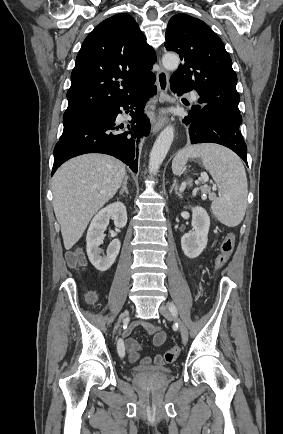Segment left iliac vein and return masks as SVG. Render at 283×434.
<instances>
[{"label": "left iliac vein", "instance_id": "obj_1", "mask_svg": "<svg viewBox=\"0 0 283 434\" xmlns=\"http://www.w3.org/2000/svg\"><path fill=\"white\" fill-rule=\"evenodd\" d=\"M159 311L165 318L173 320L179 325L182 342L185 344L188 341V330L185 324L169 309L167 305H161Z\"/></svg>", "mask_w": 283, "mask_h": 434}]
</instances>
